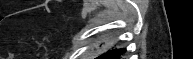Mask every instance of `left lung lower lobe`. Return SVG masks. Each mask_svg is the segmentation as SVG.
<instances>
[{"instance_id": "0a47b994", "label": "left lung lower lobe", "mask_w": 193, "mask_h": 59, "mask_svg": "<svg viewBox=\"0 0 193 59\" xmlns=\"http://www.w3.org/2000/svg\"><path fill=\"white\" fill-rule=\"evenodd\" d=\"M125 49H114L99 57V59H119Z\"/></svg>"}]
</instances>
